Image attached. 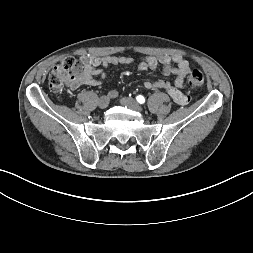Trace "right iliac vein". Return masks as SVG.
<instances>
[{
    "label": "right iliac vein",
    "mask_w": 253,
    "mask_h": 253,
    "mask_svg": "<svg viewBox=\"0 0 253 253\" xmlns=\"http://www.w3.org/2000/svg\"><path fill=\"white\" fill-rule=\"evenodd\" d=\"M109 98L107 96H102L98 101V106L101 109H105L109 105Z\"/></svg>",
    "instance_id": "1"
}]
</instances>
